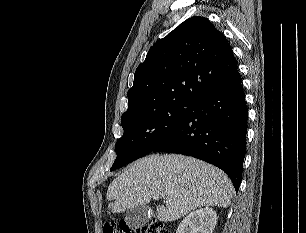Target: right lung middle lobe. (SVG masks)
<instances>
[{
  "instance_id": "obj_1",
  "label": "right lung middle lobe",
  "mask_w": 306,
  "mask_h": 233,
  "mask_svg": "<svg viewBox=\"0 0 306 233\" xmlns=\"http://www.w3.org/2000/svg\"><path fill=\"white\" fill-rule=\"evenodd\" d=\"M198 104L186 99H164L122 115L123 136L116 142L111 171L151 152L164 142Z\"/></svg>"
}]
</instances>
